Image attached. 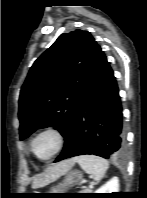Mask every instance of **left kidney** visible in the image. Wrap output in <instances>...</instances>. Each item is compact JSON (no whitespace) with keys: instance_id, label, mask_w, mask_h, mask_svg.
<instances>
[{"instance_id":"1","label":"left kidney","mask_w":147,"mask_h":198,"mask_svg":"<svg viewBox=\"0 0 147 198\" xmlns=\"http://www.w3.org/2000/svg\"><path fill=\"white\" fill-rule=\"evenodd\" d=\"M119 192V180L117 177H113L106 184L101 186L95 193H112Z\"/></svg>"}]
</instances>
